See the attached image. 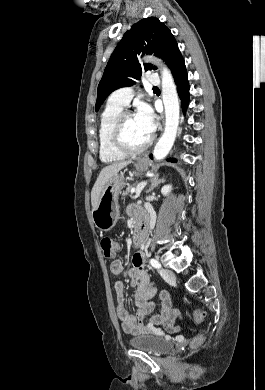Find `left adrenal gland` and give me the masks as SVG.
I'll return each instance as SVG.
<instances>
[{
	"instance_id": "obj_1",
	"label": "left adrenal gland",
	"mask_w": 265,
	"mask_h": 390,
	"mask_svg": "<svg viewBox=\"0 0 265 390\" xmlns=\"http://www.w3.org/2000/svg\"><path fill=\"white\" fill-rule=\"evenodd\" d=\"M165 179L161 178L159 179V174L151 178V185L150 188L147 190V193L152 191L156 186H158L160 183H164Z\"/></svg>"
}]
</instances>
